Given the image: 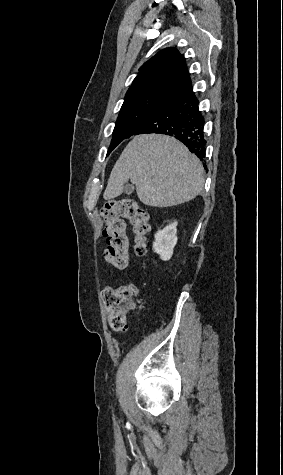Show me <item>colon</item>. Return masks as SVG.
Returning a JSON list of instances; mask_svg holds the SVG:
<instances>
[{"label": "colon", "instance_id": "obj_1", "mask_svg": "<svg viewBox=\"0 0 283 475\" xmlns=\"http://www.w3.org/2000/svg\"><path fill=\"white\" fill-rule=\"evenodd\" d=\"M101 216L105 222L104 234L107 238L103 257L114 269L124 270L129 264L124 218L130 223L136 254L139 256L147 254L150 242L148 214L133 199L107 202ZM137 294L136 284L110 286L106 292L101 293L108 306L107 322L114 331L129 330L128 317L135 309L134 301Z\"/></svg>", "mask_w": 283, "mask_h": 475}]
</instances>
